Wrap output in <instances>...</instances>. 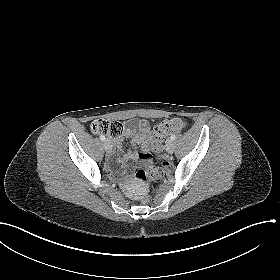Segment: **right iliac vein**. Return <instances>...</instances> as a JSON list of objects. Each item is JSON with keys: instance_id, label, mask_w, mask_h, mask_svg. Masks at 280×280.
<instances>
[{"instance_id": "right-iliac-vein-1", "label": "right iliac vein", "mask_w": 280, "mask_h": 280, "mask_svg": "<svg viewBox=\"0 0 280 280\" xmlns=\"http://www.w3.org/2000/svg\"><path fill=\"white\" fill-rule=\"evenodd\" d=\"M103 145L107 152H110L112 150V144H111L110 140H104Z\"/></svg>"}]
</instances>
